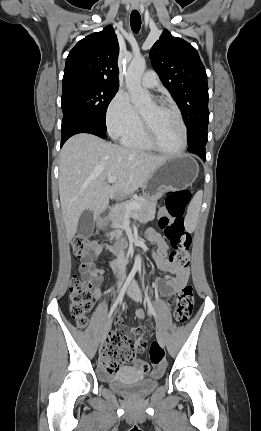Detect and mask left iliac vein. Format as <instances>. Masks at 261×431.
<instances>
[{"instance_id":"left-iliac-vein-1","label":"left iliac vein","mask_w":261,"mask_h":431,"mask_svg":"<svg viewBox=\"0 0 261 431\" xmlns=\"http://www.w3.org/2000/svg\"><path fill=\"white\" fill-rule=\"evenodd\" d=\"M128 294L135 302L141 301L142 295H141L140 288H139L138 284L136 283V281H133L131 283L130 287L128 288ZM156 336H157L158 342L161 344V346L164 347L165 341H164V337H163V334H162L160 328L156 329Z\"/></svg>"}]
</instances>
